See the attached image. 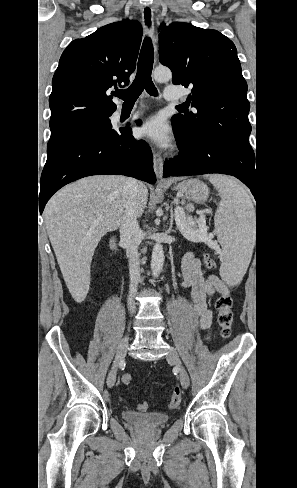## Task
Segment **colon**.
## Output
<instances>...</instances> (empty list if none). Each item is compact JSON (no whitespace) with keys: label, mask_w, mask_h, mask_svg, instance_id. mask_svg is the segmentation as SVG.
<instances>
[{"label":"colon","mask_w":297,"mask_h":488,"mask_svg":"<svg viewBox=\"0 0 297 488\" xmlns=\"http://www.w3.org/2000/svg\"><path fill=\"white\" fill-rule=\"evenodd\" d=\"M204 266L207 270L213 271L216 270L217 263L212 257L205 256ZM216 308L218 310L217 320H218L221 336L224 339H227L231 336L232 324H233L232 299L230 298V296H220L217 299ZM121 377H122V381L125 384H128L131 381L130 372L128 370H123L121 372ZM180 401H181L180 390L179 388H175L169 402L170 408L171 409L178 408ZM148 408H149V404L147 402H143L138 405V410L142 412L147 411Z\"/></svg>","instance_id":"obj_1"}]
</instances>
